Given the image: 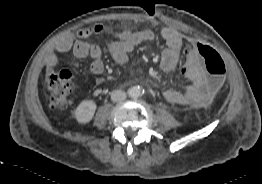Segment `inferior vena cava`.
<instances>
[{
    "instance_id": "inferior-vena-cava-1",
    "label": "inferior vena cava",
    "mask_w": 262,
    "mask_h": 184,
    "mask_svg": "<svg viewBox=\"0 0 262 184\" xmlns=\"http://www.w3.org/2000/svg\"><path fill=\"white\" fill-rule=\"evenodd\" d=\"M126 97H127L126 93L123 90H120V89L114 90L111 93V99L114 102L123 101V100L126 99Z\"/></svg>"
}]
</instances>
